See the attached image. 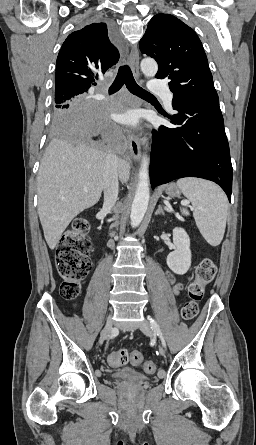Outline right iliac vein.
<instances>
[{
	"instance_id": "63e3f726",
	"label": "right iliac vein",
	"mask_w": 256,
	"mask_h": 445,
	"mask_svg": "<svg viewBox=\"0 0 256 445\" xmlns=\"http://www.w3.org/2000/svg\"><path fill=\"white\" fill-rule=\"evenodd\" d=\"M112 326H113V319H112V314H110L108 316V318L106 320V324L100 334V339H99L100 345H102L103 342L108 338L109 334L112 331Z\"/></svg>"
}]
</instances>
